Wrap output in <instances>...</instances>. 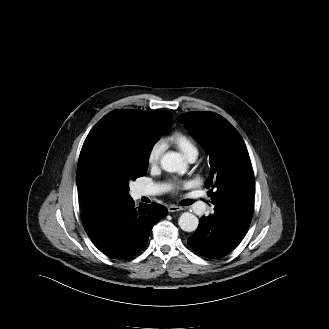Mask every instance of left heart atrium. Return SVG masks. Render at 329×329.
<instances>
[{
	"instance_id": "1",
	"label": "left heart atrium",
	"mask_w": 329,
	"mask_h": 329,
	"mask_svg": "<svg viewBox=\"0 0 329 329\" xmlns=\"http://www.w3.org/2000/svg\"><path fill=\"white\" fill-rule=\"evenodd\" d=\"M170 187L172 190H176L178 188V184L177 183H171Z\"/></svg>"
}]
</instances>
